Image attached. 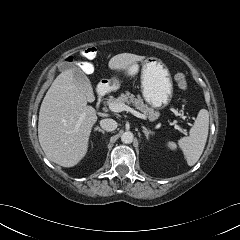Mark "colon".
<instances>
[{"instance_id":"colon-1","label":"colon","mask_w":240,"mask_h":240,"mask_svg":"<svg viewBox=\"0 0 240 240\" xmlns=\"http://www.w3.org/2000/svg\"><path fill=\"white\" fill-rule=\"evenodd\" d=\"M81 55L84 56L85 58H89V59L93 58L96 55V49L94 47L85 48L81 51ZM67 61L71 62L72 58L69 57ZM175 80L181 89L187 88V80L185 75L182 72H177L175 74Z\"/></svg>"}]
</instances>
